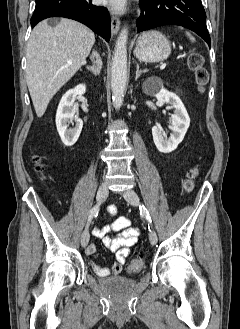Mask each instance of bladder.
<instances>
[{"instance_id":"obj_1","label":"bladder","mask_w":240,"mask_h":329,"mask_svg":"<svg viewBox=\"0 0 240 329\" xmlns=\"http://www.w3.org/2000/svg\"><path fill=\"white\" fill-rule=\"evenodd\" d=\"M101 288L114 297L124 296L136 287V280L124 276H110L99 281Z\"/></svg>"}]
</instances>
